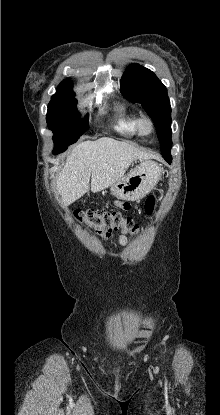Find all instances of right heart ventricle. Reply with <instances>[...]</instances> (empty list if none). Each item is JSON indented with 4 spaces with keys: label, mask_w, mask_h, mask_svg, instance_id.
Wrapping results in <instances>:
<instances>
[{
    "label": "right heart ventricle",
    "mask_w": 220,
    "mask_h": 415,
    "mask_svg": "<svg viewBox=\"0 0 220 415\" xmlns=\"http://www.w3.org/2000/svg\"><path fill=\"white\" fill-rule=\"evenodd\" d=\"M138 117L130 113L123 104L117 106V113L113 119L112 127L125 137H135L137 133Z\"/></svg>",
    "instance_id": "1"
}]
</instances>
